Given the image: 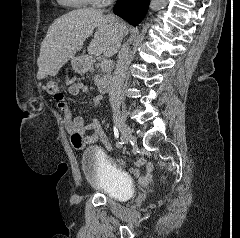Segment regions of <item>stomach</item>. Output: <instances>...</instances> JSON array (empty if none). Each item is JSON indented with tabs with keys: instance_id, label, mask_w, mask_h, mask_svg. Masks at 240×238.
<instances>
[{
	"instance_id": "0dacf381",
	"label": "stomach",
	"mask_w": 240,
	"mask_h": 238,
	"mask_svg": "<svg viewBox=\"0 0 240 238\" xmlns=\"http://www.w3.org/2000/svg\"><path fill=\"white\" fill-rule=\"evenodd\" d=\"M71 65L73 69L78 73H84L88 69L86 61L81 57H72Z\"/></svg>"
}]
</instances>
